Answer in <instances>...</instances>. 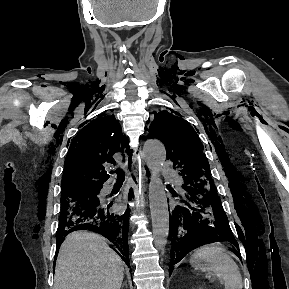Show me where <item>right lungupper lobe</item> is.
Wrapping results in <instances>:
<instances>
[{"instance_id":"obj_1","label":"right lung upper lobe","mask_w":289,"mask_h":289,"mask_svg":"<svg viewBox=\"0 0 289 289\" xmlns=\"http://www.w3.org/2000/svg\"><path fill=\"white\" fill-rule=\"evenodd\" d=\"M124 144L125 138L114 116L100 115L85 125L72 140L65 159L62 196L99 191L109 177L104 164H115L112 156Z\"/></svg>"}]
</instances>
